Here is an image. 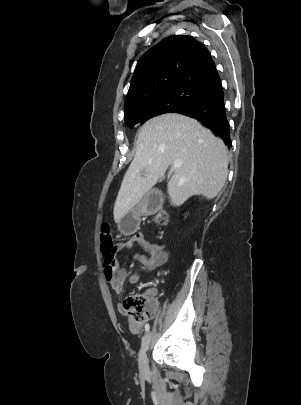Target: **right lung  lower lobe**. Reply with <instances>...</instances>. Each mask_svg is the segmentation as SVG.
<instances>
[{"instance_id":"right-lung-lower-lobe-1","label":"right lung lower lobe","mask_w":301,"mask_h":405,"mask_svg":"<svg viewBox=\"0 0 301 405\" xmlns=\"http://www.w3.org/2000/svg\"><path fill=\"white\" fill-rule=\"evenodd\" d=\"M174 112L199 120L216 136H219L226 145L229 147L232 145L222 88L212 93L204 101L178 108Z\"/></svg>"}]
</instances>
